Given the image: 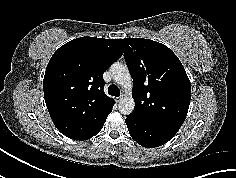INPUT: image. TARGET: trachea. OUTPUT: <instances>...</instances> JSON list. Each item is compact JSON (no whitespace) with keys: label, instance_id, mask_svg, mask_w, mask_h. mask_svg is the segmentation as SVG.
I'll return each instance as SVG.
<instances>
[{"label":"trachea","instance_id":"1","mask_svg":"<svg viewBox=\"0 0 236 178\" xmlns=\"http://www.w3.org/2000/svg\"><path fill=\"white\" fill-rule=\"evenodd\" d=\"M108 93H109L110 95H112V96H116V97H119V96H120V90H119V88H118L116 85H114V84H112V85H110V86L108 87Z\"/></svg>","mask_w":236,"mask_h":178}]
</instances>
